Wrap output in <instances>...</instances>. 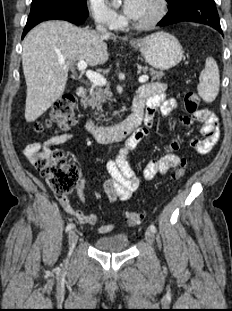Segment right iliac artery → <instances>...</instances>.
Here are the masks:
<instances>
[{
	"instance_id": "1",
	"label": "right iliac artery",
	"mask_w": 232,
	"mask_h": 311,
	"mask_svg": "<svg viewBox=\"0 0 232 311\" xmlns=\"http://www.w3.org/2000/svg\"><path fill=\"white\" fill-rule=\"evenodd\" d=\"M74 228V224L73 223H69L66 227V232L71 231Z\"/></svg>"
}]
</instances>
